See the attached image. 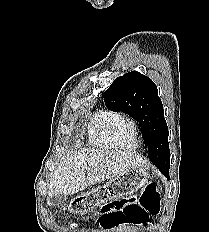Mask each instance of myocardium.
<instances>
[{
	"label": "myocardium",
	"instance_id": "obj_1",
	"mask_svg": "<svg viewBox=\"0 0 209 232\" xmlns=\"http://www.w3.org/2000/svg\"><path fill=\"white\" fill-rule=\"evenodd\" d=\"M126 121L128 123L131 124L132 128H133V138L137 137V133H138V124L136 122V120L129 116V115H125V114H120L110 125L109 127V134H110V138L112 140V142L120 149H125V150H130L131 147H125L124 145H122L119 140L116 138L115 133H114V126L119 123V122H123Z\"/></svg>",
	"mask_w": 209,
	"mask_h": 232
}]
</instances>
